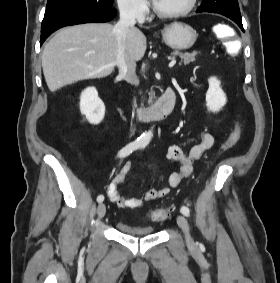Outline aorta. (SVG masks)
Returning <instances> with one entry per match:
<instances>
[{
	"label": "aorta",
	"mask_w": 280,
	"mask_h": 283,
	"mask_svg": "<svg viewBox=\"0 0 280 283\" xmlns=\"http://www.w3.org/2000/svg\"><path fill=\"white\" fill-rule=\"evenodd\" d=\"M153 137V132L151 130H149L148 132H145L142 136H141V142H143L144 144H148L150 142V140Z\"/></svg>",
	"instance_id": "1"
}]
</instances>
